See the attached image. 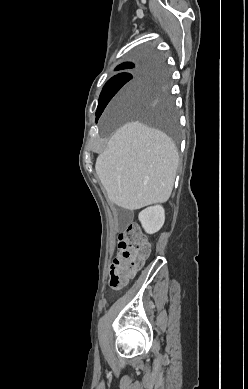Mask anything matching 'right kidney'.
<instances>
[{"label":"right kidney","instance_id":"obj_1","mask_svg":"<svg viewBox=\"0 0 248 389\" xmlns=\"http://www.w3.org/2000/svg\"><path fill=\"white\" fill-rule=\"evenodd\" d=\"M139 221L148 234L158 232L165 221V211L160 205L148 207L139 213Z\"/></svg>","mask_w":248,"mask_h":389}]
</instances>
